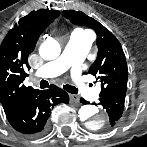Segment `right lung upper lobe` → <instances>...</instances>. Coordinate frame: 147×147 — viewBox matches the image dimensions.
Here are the masks:
<instances>
[{
	"instance_id": "right-lung-upper-lobe-1",
	"label": "right lung upper lobe",
	"mask_w": 147,
	"mask_h": 147,
	"mask_svg": "<svg viewBox=\"0 0 147 147\" xmlns=\"http://www.w3.org/2000/svg\"><path fill=\"white\" fill-rule=\"evenodd\" d=\"M56 10L40 9L21 18L0 46V102L6 116L26 105L40 90L23 85L28 76V56L40 34L59 16Z\"/></svg>"
}]
</instances>
